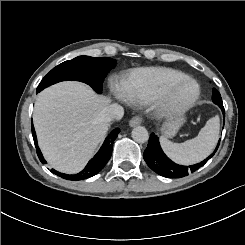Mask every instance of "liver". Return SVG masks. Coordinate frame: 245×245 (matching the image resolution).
I'll return each mask as SVG.
<instances>
[{
	"instance_id": "6515ba94",
	"label": "liver",
	"mask_w": 245,
	"mask_h": 245,
	"mask_svg": "<svg viewBox=\"0 0 245 245\" xmlns=\"http://www.w3.org/2000/svg\"><path fill=\"white\" fill-rule=\"evenodd\" d=\"M111 95L96 93L81 81H61L40 91L32 114L38 147L56 171L84 170L109 130L98 114L111 105Z\"/></svg>"
}]
</instances>
